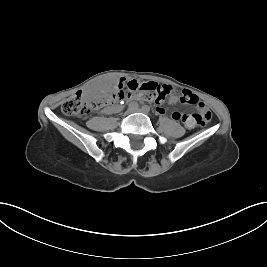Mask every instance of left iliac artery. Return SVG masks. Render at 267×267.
Masks as SVG:
<instances>
[{
	"label": "left iliac artery",
	"instance_id": "left-iliac-artery-1",
	"mask_svg": "<svg viewBox=\"0 0 267 267\" xmlns=\"http://www.w3.org/2000/svg\"><path fill=\"white\" fill-rule=\"evenodd\" d=\"M142 108H144L147 111H150V107L148 105H144Z\"/></svg>",
	"mask_w": 267,
	"mask_h": 267
}]
</instances>
